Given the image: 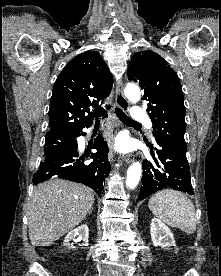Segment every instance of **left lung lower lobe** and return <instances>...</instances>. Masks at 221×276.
<instances>
[{"instance_id":"left-lung-lower-lobe-1","label":"left lung lower lobe","mask_w":221,"mask_h":276,"mask_svg":"<svg viewBox=\"0 0 221 276\" xmlns=\"http://www.w3.org/2000/svg\"><path fill=\"white\" fill-rule=\"evenodd\" d=\"M156 155L151 148L152 161H143L142 186L138 201L167 187L194 194L186 151L175 143L157 139Z\"/></svg>"}]
</instances>
